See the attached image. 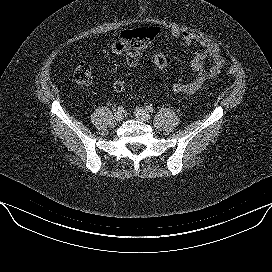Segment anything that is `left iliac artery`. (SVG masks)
Instances as JSON below:
<instances>
[{"label":"left iliac artery","instance_id":"1","mask_svg":"<svg viewBox=\"0 0 272 272\" xmlns=\"http://www.w3.org/2000/svg\"><path fill=\"white\" fill-rule=\"evenodd\" d=\"M146 111L149 113H153L154 109L151 106H146Z\"/></svg>","mask_w":272,"mask_h":272}]
</instances>
